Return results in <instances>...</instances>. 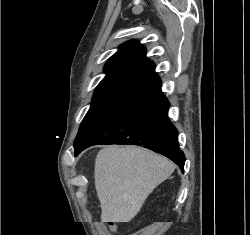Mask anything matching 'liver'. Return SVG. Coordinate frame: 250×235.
I'll list each match as a JSON object with an SVG mask.
<instances>
[{
	"label": "liver",
	"instance_id": "liver-1",
	"mask_svg": "<svg viewBox=\"0 0 250 235\" xmlns=\"http://www.w3.org/2000/svg\"><path fill=\"white\" fill-rule=\"evenodd\" d=\"M175 170L167 158L135 147L106 146L95 159V188L103 222H129L148 195Z\"/></svg>",
	"mask_w": 250,
	"mask_h": 235
}]
</instances>
